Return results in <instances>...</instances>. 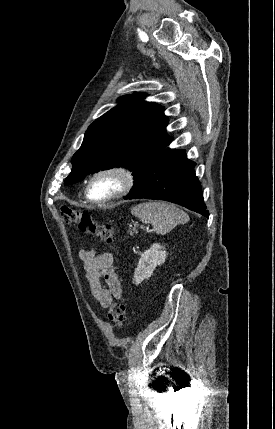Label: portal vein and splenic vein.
Segmentation results:
<instances>
[{"label":"portal vein and splenic vein","instance_id":"18ae733b","mask_svg":"<svg viewBox=\"0 0 275 429\" xmlns=\"http://www.w3.org/2000/svg\"><path fill=\"white\" fill-rule=\"evenodd\" d=\"M140 227H141V229H144V228H145V226H144V225H141Z\"/></svg>","mask_w":275,"mask_h":429}]
</instances>
